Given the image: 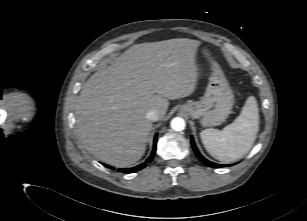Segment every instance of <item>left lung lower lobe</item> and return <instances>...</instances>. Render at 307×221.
I'll return each mask as SVG.
<instances>
[{"mask_svg":"<svg viewBox=\"0 0 307 221\" xmlns=\"http://www.w3.org/2000/svg\"><path fill=\"white\" fill-rule=\"evenodd\" d=\"M191 144H192V147H193V150L196 154V156L199 158V160L205 164L206 166H209V167H212V168H220V167H225V166H231V165H219V164H215L213 162H210L208 161L207 159H205L201 154L200 152L198 151L196 145H195V142L193 140V138H191Z\"/></svg>","mask_w":307,"mask_h":221,"instance_id":"left-lung-lower-lobe-1","label":"left lung lower lobe"}]
</instances>
